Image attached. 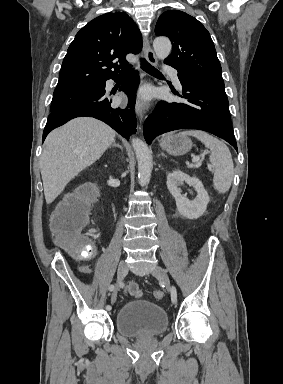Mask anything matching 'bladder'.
I'll return each instance as SVG.
<instances>
[{"instance_id": "bladder-1", "label": "bladder", "mask_w": 283, "mask_h": 384, "mask_svg": "<svg viewBox=\"0 0 283 384\" xmlns=\"http://www.w3.org/2000/svg\"><path fill=\"white\" fill-rule=\"evenodd\" d=\"M116 329L125 338L161 336L168 328L169 313L147 299H134L116 312Z\"/></svg>"}]
</instances>
